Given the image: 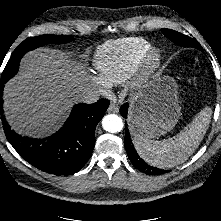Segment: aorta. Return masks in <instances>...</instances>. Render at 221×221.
<instances>
[{"label": "aorta", "instance_id": "aorta-1", "mask_svg": "<svg viewBox=\"0 0 221 221\" xmlns=\"http://www.w3.org/2000/svg\"><path fill=\"white\" fill-rule=\"evenodd\" d=\"M102 126L108 132L117 133L123 129V121L118 115L109 114L103 118Z\"/></svg>", "mask_w": 221, "mask_h": 221}]
</instances>
